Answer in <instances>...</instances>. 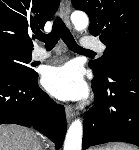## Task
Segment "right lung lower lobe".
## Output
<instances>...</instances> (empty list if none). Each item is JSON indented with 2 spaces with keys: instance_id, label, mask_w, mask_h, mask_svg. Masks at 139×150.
<instances>
[{
  "instance_id": "98d812e1",
  "label": "right lung lower lobe",
  "mask_w": 139,
  "mask_h": 150,
  "mask_svg": "<svg viewBox=\"0 0 139 150\" xmlns=\"http://www.w3.org/2000/svg\"><path fill=\"white\" fill-rule=\"evenodd\" d=\"M37 78L0 71V124L33 126L59 149L67 130L65 109L40 89Z\"/></svg>"
}]
</instances>
